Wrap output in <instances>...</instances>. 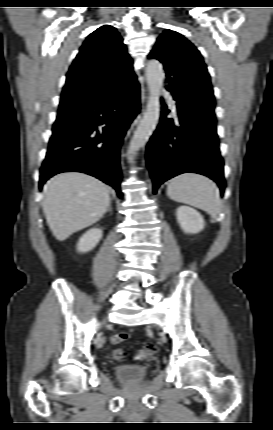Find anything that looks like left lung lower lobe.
Wrapping results in <instances>:
<instances>
[{
    "label": "left lung lower lobe",
    "instance_id": "obj_1",
    "mask_svg": "<svg viewBox=\"0 0 273 430\" xmlns=\"http://www.w3.org/2000/svg\"><path fill=\"white\" fill-rule=\"evenodd\" d=\"M178 119L166 118L162 106L160 123L146 149V160L153 179V193L166 180L182 173H199L213 179L225 190L223 159L214 119H202L177 105Z\"/></svg>",
    "mask_w": 273,
    "mask_h": 430
}]
</instances>
